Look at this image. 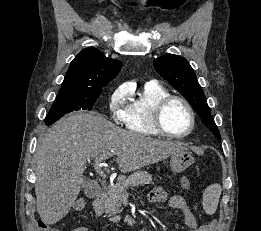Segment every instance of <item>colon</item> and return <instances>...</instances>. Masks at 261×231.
<instances>
[{
  "instance_id": "5ec220e1",
  "label": "colon",
  "mask_w": 261,
  "mask_h": 231,
  "mask_svg": "<svg viewBox=\"0 0 261 231\" xmlns=\"http://www.w3.org/2000/svg\"><path fill=\"white\" fill-rule=\"evenodd\" d=\"M85 201L84 200H76L72 205L73 211H80L85 208ZM38 228L39 231H59L56 227L53 225L47 224L44 221L39 220L38 221Z\"/></svg>"
}]
</instances>
